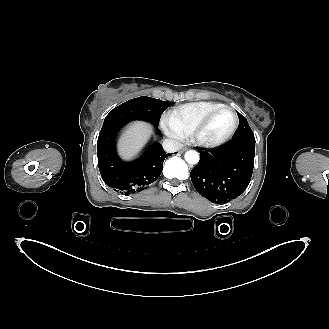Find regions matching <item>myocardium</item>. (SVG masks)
<instances>
[{
    "label": "myocardium",
    "instance_id": "obj_1",
    "mask_svg": "<svg viewBox=\"0 0 329 329\" xmlns=\"http://www.w3.org/2000/svg\"><path fill=\"white\" fill-rule=\"evenodd\" d=\"M222 110H230L234 115V124L231 129V131L223 138L218 140H205L201 137V132L204 130V128L208 125V123L211 121V119L220 111ZM239 126V116L237 111L229 105H222L210 113H208L200 122H198L194 128L191 130L190 135L192 140L201 147L211 148L216 147L219 145H222L229 141L236 133Z\"/></svg>",
    "mask_w": 329,
    "mask_h": 329
}]
</instances>
